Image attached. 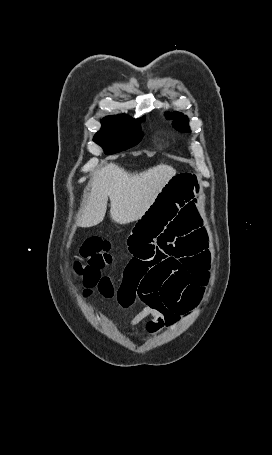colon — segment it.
<instances>
[{"label":"colon","instance_id":"colon-1","mask_svg":"<svg viewBox=\"0 0 272 455\" xmlns=\"http://www.w3.org/2000/svg\"><path fill=\"white\" fill-rule=\"evenodd\" d=\"M110 251V242L101 237L88 238L81 246L80 257L74 263V270L84 297L88 298L94 288L106 298L115 295L110 278L100 274V270L112 262Z\"/></svg>","mask_w":272,"mask_h":455}]
</instances>
